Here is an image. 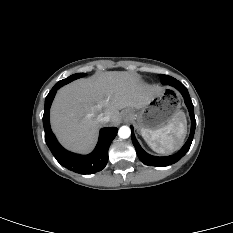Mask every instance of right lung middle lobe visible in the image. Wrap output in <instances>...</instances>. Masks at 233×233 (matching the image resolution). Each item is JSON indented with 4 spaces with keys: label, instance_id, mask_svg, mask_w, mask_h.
I'll list each match as a JSON object with an SVG mask.
<instances>
[{
    "label": "right lung middle lobe",
    "instance_id": "1",
    "mask_svg": "<svg viewBox=\"0 0 233 233\" xmlns=\"http://www.w3.org/2000/svg\"><path fill=\"white\" fill-rule=\"evenodd\" d=\"M84 75H85L84 73H77V74H74V75L69 76V77L66 78V79H63V80L59 81V82L56 83V84H62V86H63V85H65V84H67V83H69V82H71V81H73V80H75V79H78V78H80V77H83Z\"/></svg>",
    "mask_w": 233,
    "mask_h": 233
}]
</instances>
